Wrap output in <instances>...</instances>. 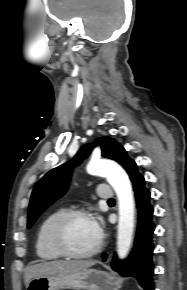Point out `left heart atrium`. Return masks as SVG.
Returning <instances> with one entry per match:
<instances>
[{"instance_id": "obj_1", "label": "left heart atrium", "mask_w": 187, "mask_h": 290, "mask_svg": "<svg viewBox=\"0 0 187 290\" xmlns=\"http://www.w3.org/2000/svg\"><path fill=\"white\" fill-rule=\"evenodd\" d=\"M92 223H93V226H94L95 230L100 235L101 234V230H100L99 223L96 220H94V219H92Z\"/></svg>"}]
</instances>
